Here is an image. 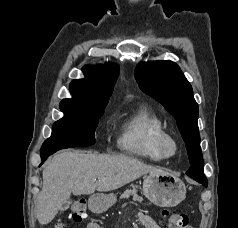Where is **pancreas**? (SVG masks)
I'll list each match as a JSON object with an SVG mask.
<instances>
[{"label": "pancreas", "instance_id": "1", "mask_svg": "<svg viewBox=\"0 0 238 228\" xmlns=\"http://www.w3.org/2000/svg\"><path fill=\"white\" fill-rule=\"evenodd\" d=\"M131 195L133 196V200L139 201V202L143 201V198L137 194V190L135 188L127 189L126 191H124V193L120 196V199L128 198Z\"/></svg>", "mask_w": 238, "mask_h": 228}]
</instances>
